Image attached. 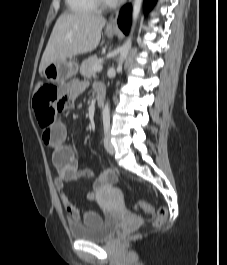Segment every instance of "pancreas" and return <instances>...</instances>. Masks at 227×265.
I'll list each match as a JSON object with an SVG mask.
<instances>
[{"mask_svg": "<svg viewBox=\"0 0 227 265\" xmlns=\"http://www.w3.org/2000/svg\"><path fill=\"white\" fill-rule=\"evenodd\" d=\"M101 62L97 58V56H91L88 59L84 60L80 65V73L84 77H91L95 74L93 71V66L100 65Z\"/></svg>", "mask_w": 227, "mask_h": 265, "instance_id": "1", "label": "pancreas"}]
</instances>
